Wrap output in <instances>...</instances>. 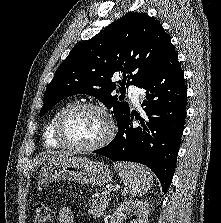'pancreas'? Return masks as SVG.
I'll list each match as a JSON object with an SVG mask.
<instances>
[{
	"mask_svg": "<svg viewBox=\"0 0 221 223\" xmlns=\"http://www.w3.org/2000/svg\"><path fill=\"white\" fill-rule=\"evenodd\" d=\"M109 201V194H102L99 199L93 200L89 205L88 213L94 218H100L103 215L104 210L107 208Z\"/></svg>",
	"mask_w": 221,
	"mask_h": 223,
	"instance_id": "cf45deb5",
	"label": "pancreas"
}]
</instances>
